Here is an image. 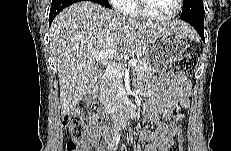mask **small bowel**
<instances>
[{"mask_svg":"<svg viewBox=\"0 0 231 151\" xmlns=\"http://www.w3.org/2000/svg\"><path fill=\"white\" fill-rule=\"evenodd\" d=\"M147 87L152 96L146 102L144 115L156 130L149 132L141 130L139 139L148 144L136 151H167L171 142L172 121H182L185 118L183 110L189 105L188 91L190 82L180 73L167 72L160 78L151 80ZM100 116L92 115L88 119V139L80 145L79 151H107L104 139L108 133L100 125Z\"/></svg>","mask_w":231,"mask_h":151,"instance_id":"c3829d8e","label":"small bowel"}]
</instances>
